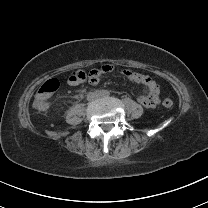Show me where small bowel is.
Masks as SVG:
<instances>
[{
	"label": "small bowel",
	"mask_w": 208,
	"mask_h": 208,
	"mask_svg": "<svg viewBox=\"0 0 208 208\" xmlns=\"http://www.w3.org/2000/svg\"><path fill=\"white\" fill-rule=\"evenodd\" d=\"M113 67L115 66H113L112 64H107L106 66L102 67L100 70L89 71L88 72L89 83L96 84L103 75L112 72ZM122 75L145 87V93L138 97V102L141 105H143L146 108H152L157 104L159 91L157 85L150 76L127 69L122 70ZM45 102L46 99L43 100L42 103L45 104ZM41 106L42 105H40L39 108H41Z\"/></svg>",
	"instance_id": "obj_1"
}]
</instances>
